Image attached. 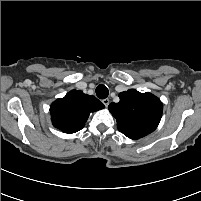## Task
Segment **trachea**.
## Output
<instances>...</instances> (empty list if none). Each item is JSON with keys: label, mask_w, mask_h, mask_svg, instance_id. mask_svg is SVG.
<instances>
[{"label": "trachea", "mask_w": 201, "mask_h": 201, "mask_svg": "<svg viewBox=\"0 0 201 201\" xmlns=\"http://www.w3.org/2000/svg\"><path fill=\"white\" fill-rule=\"evenodd\" d=\"M96 95L100 99H105L109 95V90L105 85L100 84L96 88Z\"/></svg>", "instance_id": "3493384b"}]
</instances>
